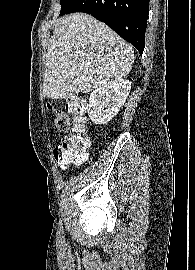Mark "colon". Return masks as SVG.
I'll use <instances>...</instances> for the list:
<instances>
[{
    "label": "colon",
    "instance_id": "colon-1",
    "mask_svg": "<svg viewBox=\"0 0 195 270\" xmlns=\"http://www.w3.org/2000/svg\"><path fill=\"white\" fill-rule=\"evenodd\" d=\"M86 107V102L79 97H71L67 100V111L52 105L48 106L54 114L58 131L68 132L62 138L61 144L53 151L54 158L62 168H67L71 164H79L86 158V147L89 143L85 129ZM68 113L73 117L74 125L72 128Z\"/></svg>",
    "mask_w": 195,
    "mask_h": 270
}]
</instances>
